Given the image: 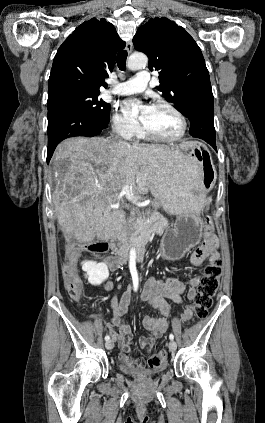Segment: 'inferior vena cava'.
<instances>
[{"label":"inferior vena cava","mask_w":265,"mask_h":423,"mask_svg":"<svg viewBox=\"0 0 265 423\" xmlns=\"http://www.w3.org/2000/svg\"><path fill=\"white\" fill-rule=\"evenodd\" d=\"M119 142H120V143H124V144H127L126 142H124V141H122V140H119Z\"/></svg>","instance_id":"1"}]
</instances>
